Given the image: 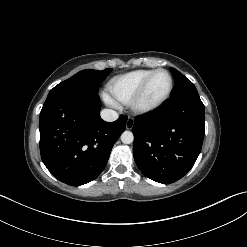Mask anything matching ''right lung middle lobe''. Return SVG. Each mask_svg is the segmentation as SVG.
Listing matches in <instances>:
<instances>
[{
    "label": "right lung middle lobe",
    "instance_id": "dd1d6c3e",
    "mask_svg": "<svg viewBox=\"0 0 247 247\" xmlns=\"http://www.w3.org/2000/svg\"><path fill=\"white\" fill-rule=\"evenodd\" d=\"M111 71V68L102 71L93 69L82 70L56 85L49 92L48 96L57 93H83L95 95L98 93L101 82Z\"/></svg>",
    "mask_w": 247,
    "mask_h": 247
}]
</instances>
